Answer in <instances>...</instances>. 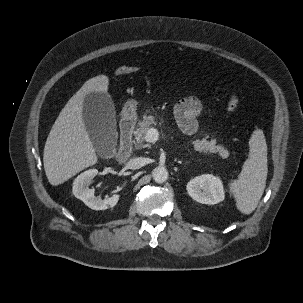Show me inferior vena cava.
I'll return each instance as SVG.
<instances>
[{
	"label": "inferior vena cava",
	"mask_w": 303,
	"mask_h": 303,
	"mask_svg": "<svg viewBox=\"0 0 303 303\" xmlns=\"http://www.w3.org/2000/svg\"><path fill=\"white\" fill-rule=\"evenodd\" d=\"M145 164H146L145 158H143V157H136V158L130 159L126 163V167L128 169L136 170V169H139V168L143 167Z\"/></svg>",
	"instance_id": "602c4592"
}]
</instances>
